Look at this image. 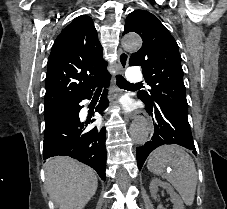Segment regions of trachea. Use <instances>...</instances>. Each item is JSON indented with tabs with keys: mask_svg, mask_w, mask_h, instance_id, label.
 <instances>
[{
	"mask_svg": "<svg viewBox=\"0 0 227 209\" xmlns=\"http://www.w3.org/2000/svg\"><path fill=\"white\" fill-rule=\"evenodd\" d=\"M117 85L119 87H121V89H125L127 90L128 88L131 87H140L139 84H131L130 82H128L126 79H124V77H122V75H117ZM101 88H98L97 91H101Z\"/></svg>",
	"mask_w": 227,
	"mask_h": 209,
	"instance_id": "3493384b",
	"label": "trachea"
}]
</instances>
